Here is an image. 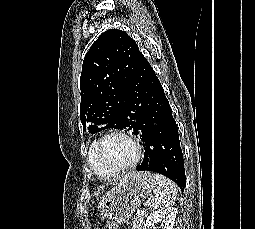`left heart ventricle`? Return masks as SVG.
<instances>
[{"label": "left heart ventricle", "mask_w": 255, "mask_h": 229, "mask_svg": "<svg viewBox=\"0 0 255 229\" xmlns=\"http://www.w3.org/2000/svg\"><path fill=\"white\" fill-rule=\"evenodd\" d=\"M134 155L135 150L132 144L121 136L109 137L98 147V158L110 168L128 165Z\"/></svg>", "instance_id": "b2bd125f"}]
</instances>
